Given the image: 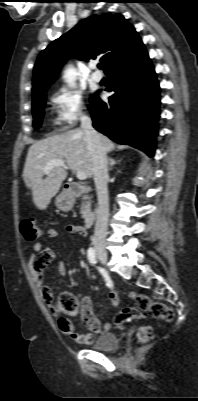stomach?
<instances>
[{"label": "stomach", "mask_w": 198, "mask_h": 401, "mask_svg": "<svg viewBox=\"0 0 198 401\" xmlns=\"http://www.w3.org/2000/svg\"><path fill=\"white\" fill-rule=\"evenodd\" d=\"M55 205L62 211H69L74 205L73 199L65 192L59 194L55 199Z\"/></svg>", "instance_id": "1"}]
</instances>
